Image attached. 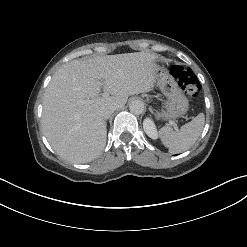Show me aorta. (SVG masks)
<instances>
[{"instance_id":"762f6f07","label":"aorta","mask_w":247,"mask_h":247,"mask_svg":"<svg viewBox=\"0 0 247 247\" xmlns=\"http://www.w3.org/2000/svg\"><path fill=\"white\" fill-rule=\"evenodd\" d=\"M129 109L133 114L139 115L144 111V103L141 100H133L129 105Z\"/></svg>"}]
</instances>
